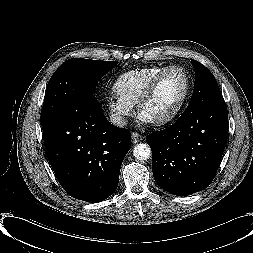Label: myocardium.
Wrapping results in <instances>:
<instances>
[{"label": "myocardium", "instance_id": "obj_1", "mask_svg": "<svg viewBox=\"0 0 253 253\" xmlns=\"http://www.w3.org/2000/svg\"><path fill=\"white\" fill-rule=\"evenodd\" d=\"M171 72H180L184 78L185 81V88H184V92L180 98V100L178 101L177 105L174 107V109L169 112L168 114L161 116L159 118L153 119V120H147L143 117V111L146 108V106L148 105V103L151 101V99L153 98L160 82L164 79L165 76H167L169 73ZM190 78L187 74V72L179 66H172L169 67L168 69H166L165 71L161 72L160 74H158L147 86V88L145 89V91L143 92V94L141 95L140 99L137 102V115L138 117L147 122L150 125L153 126H162L165 125L171 121H173L174 119L177 118V116L182 112L186 101L188 99V96L190 94Z\"/></svg>", "mask_w": 253, "mask_h": 253}]
</instances>
